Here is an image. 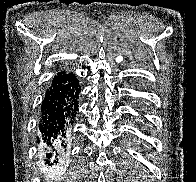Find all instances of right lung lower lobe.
Returning <instances> with one entry per match:
<instances>
[{"label": "right lung lower lobe", "instance_id": "right-lung-lower-lobe-1", "mask_svg": "<svg viewBox=\"0 0 196 182\" xmlns=\"http://www.w3.org/2000/svg\"><path fill=\"white\" fill-rule=\"evenodd\" d=\"M80 86L73 74L60 71L54 77L41 105L39 142L44 146L46 157L57 155L68 139L70 126L78 111ZM57 163L56 160H54ZM49 163V161H47Z\"/></svg>", "mask_w": 196, "mask_h": 182}]
</instances>
